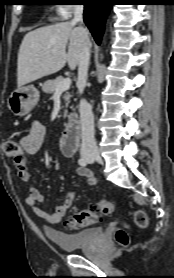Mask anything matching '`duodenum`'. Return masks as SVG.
<instances>
[{"label":"duodenum","mask_w":174,"mask_h":278,"mask_svg":"<svg viewBox=\"0 0 174 278\" xmlns=\"http://www.w3.org/2000/svg\"><path fill=\"white\" fill-rule=\"evenodd\" d=\"M79 129L80 125L77 116L71 114L59 139V146L64 155L70 156L74 153L79 140Z\"/></svg>","instance_id":"obj_1"}]
</instances>
